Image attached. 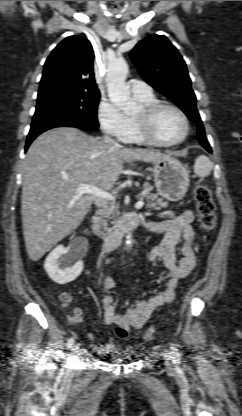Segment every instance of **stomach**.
<instances>
[{"label":"stomach","mask_w":242,"mask_h":416,"mask_svg":"<svg viewBox=\"0 0 242 416\" xmlns=\"http://www.w3.org/2000/svg\"><path fill=\"white\" fill-rule=\"evenodd\" d=\"M152 164L158 194L169 201L181 200L187 193L190 182L185 166L173 157L154 161Z\"/></svg>","instance_id":"0dacf381"}]
</instances>
